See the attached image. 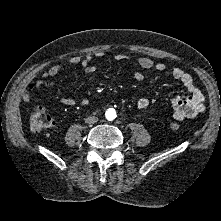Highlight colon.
I'll list each match as a JSON object with an SVG mask.
<instances>
[{
	"label": "colon",
	"mask_w": 221,
	"mask_h": 221,
	"mask_svg": "<svg viewBox=\"0 0 221 221\" xmlns=\"http://www.w3.org/2000/svg\"><path fill=\"white\" fill-rule=\"evenodd\" d=\"M51 125L52 118L42 107L37 108L30 116V127L34 132H43L50 128ZM169 126L173 131H179L183 128V125L179 120L172 121Z\"/></svg>",
	"instance_id": "5ec220e1"
}]
</instances>
